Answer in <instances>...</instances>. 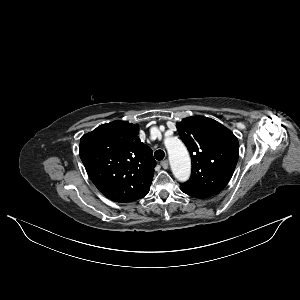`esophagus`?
<instances>
[{"instance_id":"obj_1","label":"esophagus","mask_w":300,"mask_h":300,"mask_svg":"<svg viewBox=\"0 0 300 300\" xmlns=\"http://www.w3.org/2000/svg\"><path fill=\"white\" fill-rule=\"evenodd\" d=\"M161 166L164 168V169H167L168 167H169V162H168V160L166 159V160H163L162 162H161Z\"/></svg>"}]
</instances>
